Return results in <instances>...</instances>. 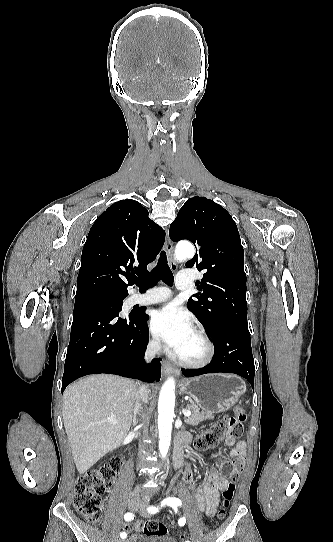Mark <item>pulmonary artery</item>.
<instances>
[{
	"label": "pulmonary artery",
	"instance_id": "pulmonary-artery-1",
	"mask_svg": "<svg viewBox=\"0 0 333 542\" xmlns=\"http://www.w3.org/2000/svg\"><path fill=\"white\" fill-rule=\"evenodd\" d=\"M193 268L185 267L184 271L179 270L176 272V287L179 291L184 292L190 286V283L193 281ZM165 287H156L155 289L147 288L144 293L143 301H134L133 304L138 303L140 305H152L165 302L170 299V295L166 291Z\"/></svg>",
	"mask_w": 333,
	"mask_h": 542
}]
</instances>
